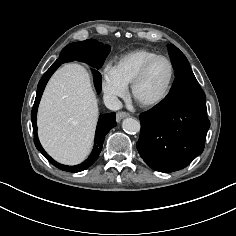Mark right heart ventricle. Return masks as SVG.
<instances>
[{
	"label": "right heart ventricle",
	"instance_id": "1",
	"mask_svg": "<svg viewBox=\"0 0 236 236\" xmlns=\"http://www.w3.org/2000/svg\"><path fill=\"white\" fill-rule=\"evenodd\" d=\"M158 54L150 49L138 48L119 56L112 66L118 79L125 85H131L141 67Z\"/></svg>",
	"mask_w": 236,
	"mask_h": 236
}]
</instances>
